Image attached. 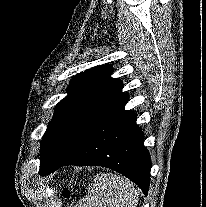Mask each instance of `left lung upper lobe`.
<instances>
[{"label":"left lung upper lobe","mask_w":206,"mask_h":207,"mask_svg":"<svg viewBox=\"0 0 206 207\" xmlns=\"http://www.w3.org/2000/svg\"><path fill=\"white\" fill-rule=\"evenodd\" d=\"M111 65H101L78 74L67 88L68 95L55 113L41 141L42 175L57 162L72 156L95 123L124 93L123 83L110 75Z\"/></svg>","instance_id":"1"}]
</instances>
